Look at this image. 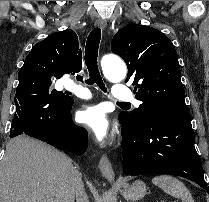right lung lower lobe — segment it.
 <instances>
[{"mask_svg":"<svg viewBox=\"0 0 209 202\" xmlns=\"http://www.w3.org/2000/svg\"><path fill=\"white\" fill-rule=\"evenodd\" d=\"M15 105L10 137L27 134L76 155L86 151L87 131L72 121L70 96L56 98L33 79H26L19 81Z\"/></svg>","mask_w":209,"mask_h":202,"instance_id":"obj_1","label":"right lung lower lobe"}]
</instances>
